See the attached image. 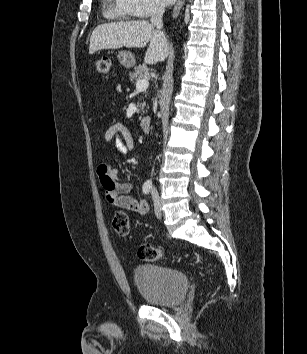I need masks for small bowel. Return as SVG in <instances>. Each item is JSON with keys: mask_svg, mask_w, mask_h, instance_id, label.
<instances>
[{"mask_svg": "<svg viewBox=\"0 0 307 354\" xmlns=\"http://www.w3.org/2000/svg\"><path fill=\"white\" fill-rule=\"evenodd\" d=\"M104 139L106 142H114L118 152L121 154L134 147L133 134L122 123L110 126L104 134ZM97 175L103 187L106 200L109 203L139 214H145L148 211V204L145 200L136 199L131 195L132 185L128 182L118 181L119 169L103 163L97 167Z\"/></svg>", "mask_w": 307, "mask_h": 354, "instance_id": "small-bowel-1", "label": "small bowel"}]
</instances>
